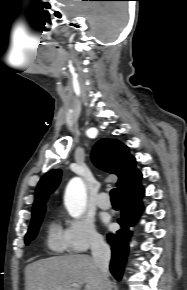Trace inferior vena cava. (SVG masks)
Segmentation results:
<instances>
[{"label":"inferior vena cava","instance_id":"inferior-vena-cava-1","mask_svg":"<svg viewBox=\"0 0 187 290\" xmlns=\"http://www.w3.org/2000/svg\"><path fill=\"white\" fill-rule=\"evenodd\" d=\"M91 252L96 266L106 281L109 273L108 269L111 258L110 247L101 236H97L92 241Z\"/></svg>","mask_w":187,"mask_h":290}]
</instances>
